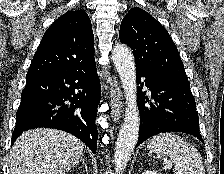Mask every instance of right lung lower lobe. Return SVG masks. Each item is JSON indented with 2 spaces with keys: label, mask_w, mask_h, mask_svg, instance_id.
Returning a JSON list of instances; mask_svg holds the SVG:
<instances>
[{
  "label": "right lung lower lobe",
  "mask_w": 224,
  "mask_h": 174,
  "mask_svg": "<svg viewBox=\"0 0 224 174\" xmlns=\"http://www.w3.org/2000/svg\"><path fill=\"white\" fill-rule=\"evenodd\" d=\"M100 99L95 61L27 80L11 144L24 131L45 127L71 133L95 153L98 138L95 120Z\"/></svg>",
  "instance_id": "right-lung-lower-lobe-1"
}]
</instances>
